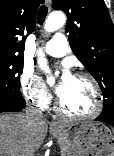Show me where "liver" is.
Instances as JSON below:
<instances>
[{
    "mask_svg": "<svg viewBox=\"0 0 114 156\" xmlns=\"http://www.w3.org/2000/svg\"><path fill=\"white\" fill-rule=\"evenodd\" d=\"M48 125L24 113L0 114V156H34L43 143Z\"/></svg>",
    "mask_w": 114,
    "mask_h": 156,
    "instance_id": "6515ba94",
    "label": "liver"
}]
</instances>
